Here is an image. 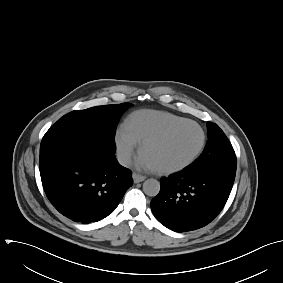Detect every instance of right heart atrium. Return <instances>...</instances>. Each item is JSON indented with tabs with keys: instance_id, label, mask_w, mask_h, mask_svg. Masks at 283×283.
<instances>
[{
	"instance_id": "d8ad5b80",
	"label": "right heart atrium",
	"mask_w": 283,
	"mask_h": 283,
	"mask_svg": "<svg viewBox=\"0 0 283 283\" xmlns=\"http://www.w3.org/2000/svg\"><path fill=\"white\" fill-rule=\"evenodd\" d=\"M114 144L117 156L121 163L129 164L137 148V142L127 132L124 126H120L114 136Z\"/></svg>"
}]
</instances>
